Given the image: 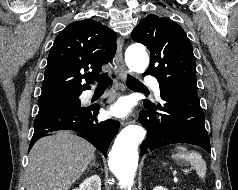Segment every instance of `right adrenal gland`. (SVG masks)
Returning <instances> with one entry per match:
<instances>
[{
	"label": "right adrenal gland",
	"mask_w": 238,
	"mask_h": 190,
	"mask_svg": "<svg viewBox=\"0 0 238 190\" xmlns=\"http://www.w3.org/2000/svg\"><path fill=\"white\" fill-rule=\"evenodd\" d=\"M92 166H94V167H98V166H99L98 164H96L95 158H93L92 163L90 164V166H89V168L87 169V171H89V169H90Z\"/></svg>",
	"instance_id": "obj_1"
}]
</instances>
